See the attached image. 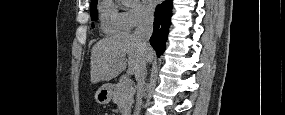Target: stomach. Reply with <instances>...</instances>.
<instances>
[{
  "label": "stomach",
  "instance_id": "1",
  "mask_svg": "<svg viewBox=\"0 0 285 115\" xmlns=\"http://www.w3.org/2000/svg\"><path fill=\"white\" fill-rule=\"evenodd\" d=\"M113 95V86L106 84L100 87L95 93V100L98 104H108Z\"/></svg>",
  "mask_w": 285,
  "mask_h": 115
}]
</instances>
